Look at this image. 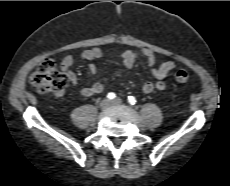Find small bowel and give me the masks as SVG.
Wrapping results in <instances>:
<instances>
[{
	"instance_id": "1",
	"label": "small bowel",
	"mask_w": 230,
	"mask_h": 186,
	"mask_svg": "<svg viewBox=\"0 0 230 186\" xmlns=\"http://www.w3.org/2000/svg\"><path fill=\"white\" fill-rule=\"evenodd\" d=\"M105 55L99 48L86 49L81 53V58L90 62L88 65L89 71L94 78L98 77V70L93 63L94 60L101 59ZM120 60L126 70H130L135 62L142 58L147 66L151 69V73L156 79L155 81H146L142 85V91L146 94L154 91H163L166 88V84L163 79L176 68V64L173 61H165L157 65V58L153 51L149 48H143L140 51L128 49L119 55ZM74 57L72 55L65 56L61 61V68L66 74L70 83L74 86L78 84V77L73 71L72 66L74 64ZM104 86L99 81H95L89 86L80 89V95L83 97H90L103 92ZM62 93L57 96L60 97Z\"/></svg>"
}]
</instances>
